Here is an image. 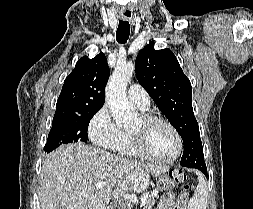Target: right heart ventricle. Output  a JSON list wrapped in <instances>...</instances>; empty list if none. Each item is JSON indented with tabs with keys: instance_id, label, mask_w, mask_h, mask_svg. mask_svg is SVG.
Masks as SVG:
<instances>
[{
	"instance_id": "obj_1",
	"label": "right heart ventricle",
	"mask_w": 253,
	"mask_h": 209,
	"mask_svg": "<svg viewBox=\"0 0 253 209\" xmlns=\"http://www.w3.org/2000/svg\"><path fill=\"white\" fill-rule=\"evenodd\" d=\"M140 108V107H139ZM141 111L146 112L147 108H140ZM118 150L129 157H140L138 152L135 149L133 139L130 131H124V141L122 145L118 148Z\"/></svg>"
}]
</instances>
